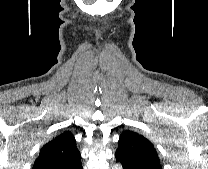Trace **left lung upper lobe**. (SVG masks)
I'll return each mask as SVG.
<instances>
[{
  "label": "left lung upper lobe",
  "mask_w": 208,
  "mask_h": 169,
  "mask_svg": "<svg viewBox=\"0 0 208 169\" xmlns=\"http://www.w3.org/2000/svg\"><path fill=\"white\" fill-rule=\"evenodd\" d=\"M116 152L127 156L141 169H162L153 144L135 132L125 130L120 135Z\"/></svg>",
  "instance_id": "obj_1"
}]
</instances>
